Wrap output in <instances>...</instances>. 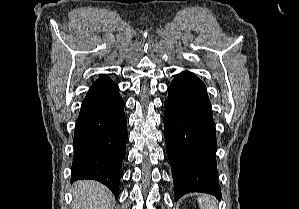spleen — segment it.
I'll return each mask as SVG.
<instances>
[{
	"label": "spleen",
	"instance_id": "1",
	"mask_svg": "<svg viewBox=\"0 0 299 209\" xmlns=\"http://www.w3.org/2000/svg\"><path fill=\"white\" fill-rule=\"evenodd\" d=\"M200 209H217L215 199L208 194H200L198 197Z\"/></svg>",
	"mask_w": 299,
	"mask_h": 209
}]
</instances>
